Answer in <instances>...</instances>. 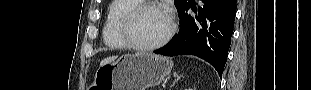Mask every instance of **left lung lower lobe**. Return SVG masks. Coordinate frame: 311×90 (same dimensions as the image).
Returning a JSON list of instances; mask_svg holds the SVG:
<instances>
[{
  "mask_svg": "<svg viewBox=\"0 0 311 90\" xmlns=\"http://www.w3.org/2000/svg\"><path fill=\"white\" fill-rule=\"evenodd\" d=\"M198 8L189 2L178 13L177 37L154 53L166 56L195 55L209 62L221 76L233 34L237 0H202ZM191 7L195 17L187 13Z\"/></svg>",
  "mask_w": 311,
  "mask_h": 90,
  "instance_id": "0a47b994",
  "label": "left lung lower lobe"
}]
</instances>
